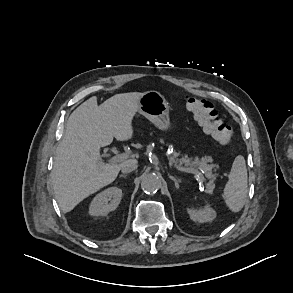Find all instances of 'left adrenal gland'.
Masks as SVG:
<instances>
[{
  "label": "left adrenal gland",
  "instance_id": "obj_1",
  "mask_svg": "<svg viewBox=\"0 0 293 293\" xmlns=\"http://www.w3.org/2000/svg\"><path fill=\"white\" fill-rule=\"evenodd\" d=\"M168 176H169V178H170L171 180L174 181L176 189H179V182H180V180H177L175 177H173V176H171V175H168Z\"/></svg>",
  "mask_w": 293,
  "mask_h": 293
}]
</instances>
